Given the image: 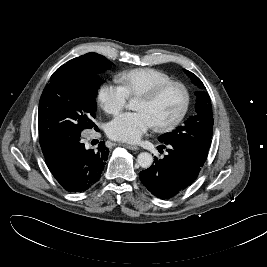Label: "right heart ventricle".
<instances>
[{"label": "right heart ventricle", "instance_id": "e07e8e85", "mask_svg": "<svg viewBox=\"0 0 267 267\" xmlns=\"http://www.w3.org/2000/svg\"><path fill=\"white\" fill-rule=\"evenodd\" d=\"M117 80L125 89L128 97L134 99L161 84L172 81V78L154 68H137L120 73Z\"/></svg>", "mask_w": 267, "mask_h": 267}]
</instances>
